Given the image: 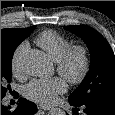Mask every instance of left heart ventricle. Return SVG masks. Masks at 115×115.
Returning <instances> with one entry per match:
<instances>
[{
	"label": "left heart ventricle",
	"mask_w": 115,
	"mask_h": 115,
	"mask_svg": "<svg viewBox=\"0 0 115 115\" xmlns=\"http://www.w3.org/2000/svg\"><path fill=\"white\" fill-rule=\"evenodd\" d=\"M80 67V61L78 59H76L74 62H73V65H72V69L74 71L78 70Z\"/></svg>",
	"instance_id": "1"
}]
</instances>
